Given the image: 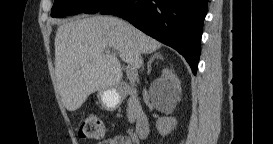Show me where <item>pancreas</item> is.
I'll return each instance as SVG.
<instances>
[{
  "label": "pancreas",
  "instance_id": "cf45deb5",
  "mask_svg": "<svg viewBox=\"0 0 273 144\" xmlns=\"http://www.w3.org/2000/svg\"><path fill=\"white\" fill-rule=\"evenodd\" d=\"M127 118L130 123H133L136 118V113L133 107V102L129 101L128 102V107H127Z\"/></svg>",
  "mask_w": 273,
  "mask_h": 144
}]
</instances>
